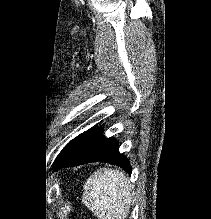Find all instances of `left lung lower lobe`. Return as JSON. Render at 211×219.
I'll return each instance as SVG.
<instances>
[{"label": "left lung lower lobe", "mask_w": 211, "mask_h": 219, "mask_svg": "<svg viewBox=\"0 0 211 219\" xmlns=\"http://www.w3.org/2000/svg\"><path fill=\"white\" fill-rule=\"evenodd\" d=\"M118 142L103 136L102 129L93 128L71 140L60 152L54 168L77 166L89 162H106L122 167L127 173L132 168L129 160L119 153Z\"/></svg>", "instance_id": "obj_1"}]
</instances>
